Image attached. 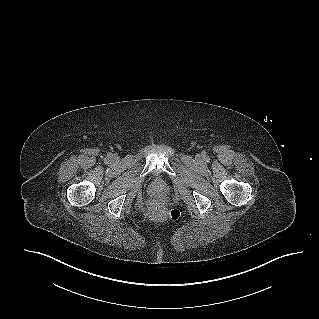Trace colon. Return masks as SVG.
Segmentation results:
<instances>
[{
	"label": "colon",
	"mask_w": 319,
	"mask_h": 319,
	"mask_svg": "<svg viewBox=\"0 0 319 319\" xmlns=\"http://www.w3.org/2000/svg\"><path fill=\"white\" fill-rule=\"evenodd\" d=\"M153 215H170V216H175L176 212L175 211H169L165 206L157 204L153 207L152 212Z\"/></svg>",
	"instance_id": "colon-1"
}]
</instances>
